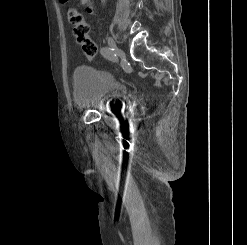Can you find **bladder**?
<instances>
[{"mask_svg":"<svg viewBox=\"0 0 247 245\" xmlns=\"http://www.w3.org/2000/svg\"><path fill=\"white\" fill-rule=\"evenodd\" d=\"M128 93L126 83L92 66L77 67L73 72V101L77 107L115 112Z\"/></svg>","mask_w":247,"mask_h":245,"instance_id":"obj_1","label":"bladder"}]
</instances>
